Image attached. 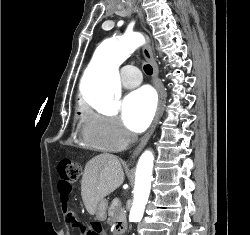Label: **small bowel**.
Returning <instances> with one entry per match:
<instances>
[{"label":"small bowel","instance_id":"obj_1","mask_svg":"<svg viewBox=\"0 0 250 235\" xmlns=\"http://www.w3.org/2000/svg\"><path fill=\"white\" fill-rule=\"evenodd\" d=\"M59 200H60L62 207L64 208V207H66V205L68 203L69 196H59ZM80 233H81V235H100V231L95 227H93V228L85 227L84 231L80 232Z\"/></svg>","mask_w":250,"mask_h":235}]
</instances>
